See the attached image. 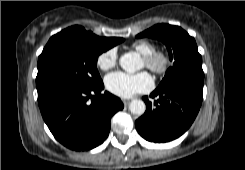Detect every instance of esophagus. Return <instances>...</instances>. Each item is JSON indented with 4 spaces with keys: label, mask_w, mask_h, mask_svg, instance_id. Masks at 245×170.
<instances>
[{
    "label": "esophagus",
    "mask_w": 245,
    "mask_h": 170,
    "mask_svg": "<svg viewBox=\"0 0 245 170\" xmlns=\"http://www.w3.org/2000/svg\"><path fill=\"white\" fill-rule=\"evenodd\" d=\"M124 105H127L129 103V100H123Z\"/></svg>",
    "instance_id": "34e87169"
}]
</instances>
